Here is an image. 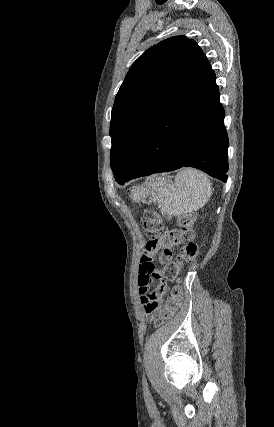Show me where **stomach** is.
<instances>
[{"mask_svg": "<svg viewBox=\"0 0 274 427\" xmlns=\"http://www.w3.org/2000/svg\"><path fill=\"white\" fill-rule=\"evenodd\" d=\"M141 192H142V196H144V194H146V188H142Z\"/></svg>", "mask_w": 274, "mask_h": 427, "instance_id": "obj_1", "label": "stomach"}]
</instances>
